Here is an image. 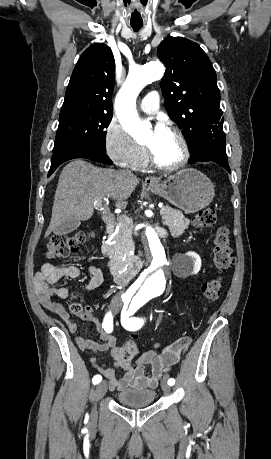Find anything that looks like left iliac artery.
<instances>
[{"label": "left iliac artery", "mask_w": 271, "mask_h": 459, "mask_svg": "<svg viewBox=\"0 0 271 459\" xmlns=\"http://www.w3.org/2000/svg\"><path fill=\"white\" fill-rule=\"evenodd\" d=\"M140 305H136L134 303L131 304L130 307H124L122 312H121V324L122 326L129 331H136L139 330L142 325L144 324V320L140 318H128L129 316H134L135 315V309L139 307ZM175 380L173 378H170L168 380L169 385H174Z\"/></svg>", "instance_id": "44dca946"}]
</instances>
